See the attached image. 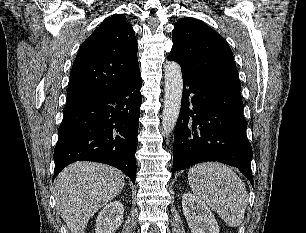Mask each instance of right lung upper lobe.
<instances>
[{
    "mask_svg": "<svg viewBox=\"0 0 306 233\" xmlns=\"http://www.w3.org/2000/svg\"><path fill=\"white\" fill-rule=\"evenodd\" d=\"M137 49L135 33L126 17L114 14L106 18L78 50L66 106L105 96L124 86L140 72Z\"/></svg>",
    "mask_w": 306,
    "mask_h": 233,
    "instance_id": "right-lung-upper-lobe-1",
    "label": "right lung upper lobe"
}]
</instances>
